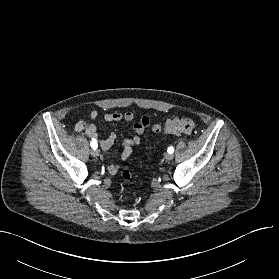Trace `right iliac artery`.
<instances>
[{"label":"right iliac artery","instance_id":"obj_1","mask_svg":"<svg viewBox=\"0 0 279 279\" xmlns=\"http://www.w3.org/2000/svg\"><path fill=\"white\" fill-rule=\"evenodd\" d=\"M90 145L93 149H96L98 147V144H97L96 140H92Z\"/></svg>","mask_w":279,"mask_h":279}]
</instances>
